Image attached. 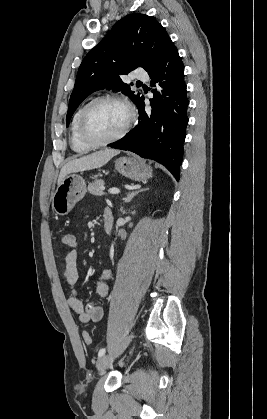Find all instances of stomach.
Wrapping results in <instances>:
<instances>
[{"label": "stomach", "instance_id": "stomach-1", "mask_svg": "<svg viewBox=\"0 0 267 419\" xmlns=\"http://www.w3.org/2000/svg\"><path fill=\"white\" fill-rule=\"evenodd\" d=\"M116 170L134 181H145L152 176V168L136 157H121L115 161ZM86 194L85 180L76 173L68 174L58 184L52 197V209L55 214H68L75 204Z\"/></svg>", "mask_w": 267, "mask_h": 419}]
</instances>
